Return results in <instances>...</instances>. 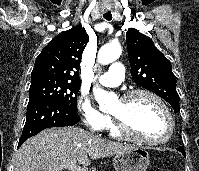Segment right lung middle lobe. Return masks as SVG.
<instances>
[{
  "mask_svg": "<svg viewBox=\"0 0 199 171\" xmlns=\"http://www.w3.org/2000/svg\"><path fill=\"white\" fill-rule=\"evenodd\" d=\"M79 88L80 83L52 77H35L31 78L29 99L37 96L49 97L76 111Z\"/></svg>",
  "mask_w": 199,
  "mask_h": 171,
  "instance_id": "dd1d6c3e",
  "label": "right lung middle lobe"
}]
</instances>
